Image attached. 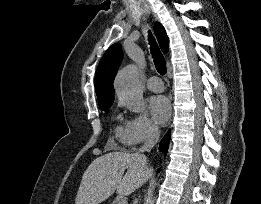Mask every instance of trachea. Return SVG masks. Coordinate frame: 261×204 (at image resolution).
<instances>
[{"mask_svg": "<svg viewBox=\"0 0 261 204\" xmlns=\"http://www.w3.org/2000/svg\"><path fill=\"white\" fill-rule=\"evenodd\" d=\"M149 44L151 49V54L154 59L156 70L161 74H166V61L164 56L162 55L155 38L152 33L149 32Z\"/></svg>", "mask_w": 261, "mask_h": 204, "instance_id": "1", "label": "trachea"}]
</instances>
